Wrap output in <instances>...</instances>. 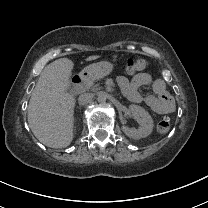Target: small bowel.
Wrapping results in <instances>:
<instances>
[{"label":"small bowel","instance_id":"obj_1","mask_svg":"<svg viewBox=\"0 0 208 208\" xmlns=\"http://www.w3.org/2000/svg\"><path fill=\"white\" fill-rule=\"evenodd\" d=\"M117 83L124 96L133 103L144 102L152 111L160 115L170 114L175 110L174 100L162 79H153L148 73H139L132 79L119 76ZM143 86H151L154 95L142 96L139 88Z\"/></svg>","mask_w":208,"mask_h":208}]
</instances>
